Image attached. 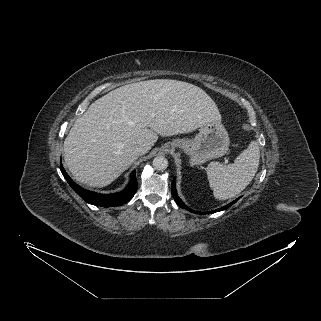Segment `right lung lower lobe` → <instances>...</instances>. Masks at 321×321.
<instances>
[{"label":"right lung lower lobe","instance_id":"1","mask_svg":"<svg viewBox=\"0 0 321 321\" xmlns=\"http://www.w3.org/2000/svg\"><path fill=\"white\" fill-rule=\"evenodd\" d=\"M60 169L64 176V178L67 180L68 184L71 186V188L87 203L100 206V207H111V206H119L122 205L129 200L132 199L134 196L136 190H137V179L135 171H133L130 175V182L128 186L118 192L113 194H100L96 192H92L86 189L81 188L78 186L65 172L62 164L60 163Z\"/></svg>","mask_w":321,"mask_h":321}]
</instances>
